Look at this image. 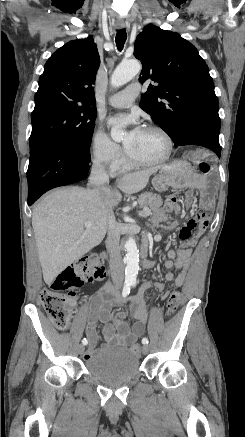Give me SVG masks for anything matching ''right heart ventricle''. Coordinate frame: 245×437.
<instances>
[{
    "instance_id": "right-heart-ventricle-1",
    "label": "right heart ventricle",
    "mask_w": 245,
    "mask_h": 437,
    "mask_svg": "<svg viewBox=\"0 0 245 437\" xmlns=\"http://www.w3.org/2000/svg\"><path fill=\"white\" fill-rule=\"evenodd\" d=\"M131 167H132V164L129 163L128 161L124 160L119 164V166L117 168L120 170H128Z\"/></svg>"
}]
</instances>
